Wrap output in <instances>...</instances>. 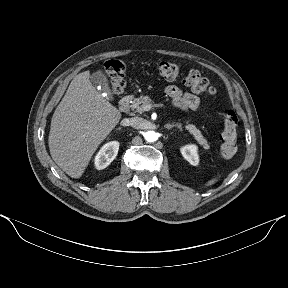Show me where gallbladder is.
Segmentation results:
<instances>
[{
    "label": "gallbladder",
    "instance_id": "bac80fb5",
    "mask_svg": "<svg viewBox=\"0 0 288 288\" xmlns=\"http://www.w3.org/2000/svg\"><path fill=\"white\" fill-rule=\"evenodd\" d=\"M91 81L96 84L100 85L103 90H108V80L106 75L102 72V70H98L97 72L93 73L90 76Z\"/></svg>",
    "mask_w": 288,
    "mask_h": 288
}]
</instances>
